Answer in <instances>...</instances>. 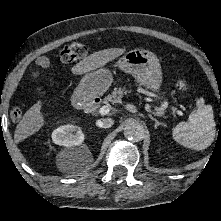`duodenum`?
Instances as JSON below:
<instances>
[{"instance_id":"duodenum-1","label":"duodenum","mask_w":221,"mask_h":221,"mask_svg":"<svg viewBox=\"0 0 221 221\" xmlns=\"http://www.w3.org/2000/svg\"><path fill=\"white\" fill-rule=\"evenodd\" d=\"M100 99L96 97L86 98L82 95L75 97V105L84 110L85 113H93L99 106Z\"/></svg>"}]
</instances>
